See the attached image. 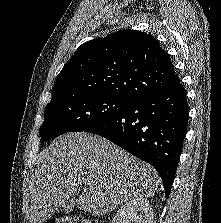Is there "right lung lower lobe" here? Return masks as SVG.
I'll list each match as a JSON object with an SVG mask.
<instances>
[{"label": "right lung lower lobe", "instance_id": "1", "mask_svg": "<svg viewBox=\"0 0 221 223\" xmlns=\"http://www.w3.org/2000/svg\"><path fill=\"white\" fill-rule=\"evenodd\" d=\"M182 84L142 96L115 117L87 129L155 167L168 198L187 131Z\"/></svg>", "mask_w": 221, "mask_h": 223}]
</instances>
